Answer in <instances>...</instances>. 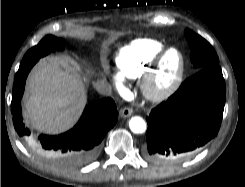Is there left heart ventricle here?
Masks as SVG:
<instances>
[{
	"mask_svg": "<svg viewBox=\"0 0 245 187\" xmlns=\"http://www.w3.org/2000/svg\"><path fill=\"white\" fill-rule=\"evenodd\" d=\"M179 66V57L176 52L172 51L167 54L163 60L161 71L158 76L156 85L158 87H163L168 84L174 77Z\"/></svg>",
	"mask_w": 245,
	"mask_h": 187,
	"instance_id": "left-heart-ventricle-1",
	"label": "left heart ventricle"
}]
</instances>
